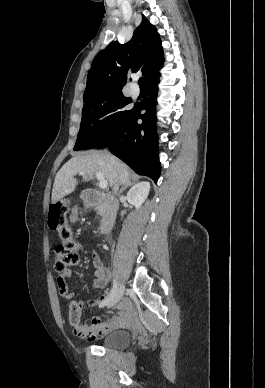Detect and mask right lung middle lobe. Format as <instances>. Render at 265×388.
<instances>
[{"mask_svg": "<svg viewBox=\"0 0 265 388\" xmlns=\"http://www.w3.org/2000/svg\"><path fill=\"white\" fill-rule=\"evenodd\" d=\"M120 90H104L84 98L82 120L74 150L104 148L121 130L131 110V103Z\"/></svg>", "mask_w": 265, "mask_h": 388, "instance_id": "dd1d6c3e", "label": "right lung middle lobe"}]
</instances>
